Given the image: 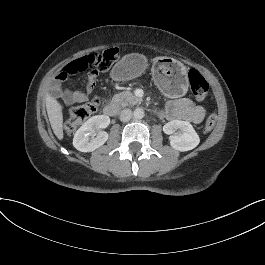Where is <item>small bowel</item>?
Segmentation results:
<instances>
[{
	"label": "small bowel",
	"instance_id": "obj_1",
	"mask_svg": "<svg viewBox=\"0 0 265 265\" xmlns=\"http://www.w3.org/2000/svg\"><path fill=\"white\" fill-rule=\"evenodd\" d=\"M96 77V71H91L89 73L86 92L62 90L59 86H54L53 93L61 96L66 105L84 102L95 88ZM162 116L171 121L182 120L199 124L204 120L206 110L203 106L196 105L189 98H176L167 102Z\"/></svg>",
	"mask_w": 265,
	"mask_h": 265
}]
</instances>
